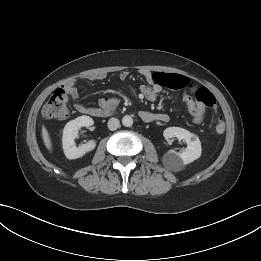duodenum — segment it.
<instances>
[{"label":"duodenum","mask_w":261,"mask_h":261,"mask_svg":"<svg viewBox=\"0 0 261 261\" xmlns=\"http://www.w3.org/2000/svg\"><path fill=\"white\" fill-rule=\"evenodd\" d=\"M111 111H109V110H106V111H97V112H95L93 115L94 116H103V115H105V114H107V113H110ZM145 120H148V118H146Z\"/></svg>","instance_id":"duodenum-1"}]
</instances>
